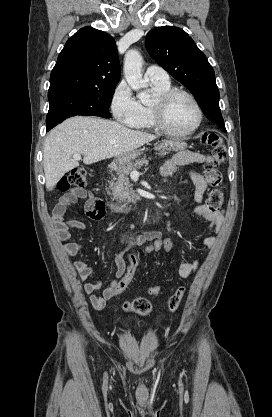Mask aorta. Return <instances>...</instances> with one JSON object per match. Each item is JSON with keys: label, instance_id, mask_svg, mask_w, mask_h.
<instances>
[{"label": "aorta", "instance_id": "1", "mask_svg": "<svg viewBox=\"0 0 272 417\" xmlns=\"http://www.w3.org/2000/svg\"><path fill=\"white\" fill-rule=\"evenodd\" d=\"M143 58L141 54L135 50H129L125 54L124 59V76L129 86L139 92V98L142 103H148L150 95L143 89L148 87L147 81L142 77Z\"/></svg>", "mask_w": 272, "mask_h": 417}]
</instances>
